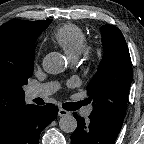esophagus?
<instances>
[{
    "mask_svg": "<svg viewBox=\"0 0 144 144\" xmlns=\"http://www.w3.org/2000/svg\"><path fill=\"white\" fill-rule=\"evenodd\" d=\"M69 114H70V113H69L67 110L62 109V108H60L59 111H58V116H60V117L67 116V115H69Z\"/></svg>",
    "mask_w": 144,
    "mask_h": 144,
    "instance_id": "obj_1",
    "label": "esophagus"
}]
</instances>
